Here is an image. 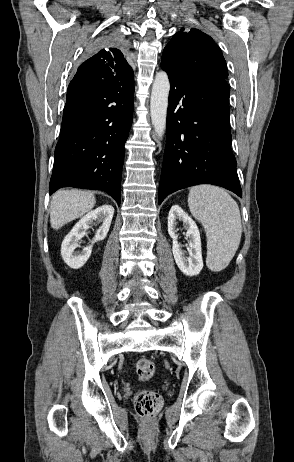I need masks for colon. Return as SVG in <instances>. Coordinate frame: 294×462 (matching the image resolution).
I'll list each match as a JSON object with an SVG mask.
<instances>
[{"label":"colon","instance_id":"5ec220e1","mask_svg":"<svg viewBox=\"0 0 294 462\" xmlns=\"http://www.w3.org/2000/svg\"><path fill=\"white\" fill-rule=\"evenodd\" d=\"M155 373V364L152 360L143 358L136 364V374L142 381L150 380ZM134 406L137 413L143 418L155 416L162 407L161 396L151 390H140L134 396Z\"/></svg>","mask_w":294,"mask_h":462}]
</instances>
